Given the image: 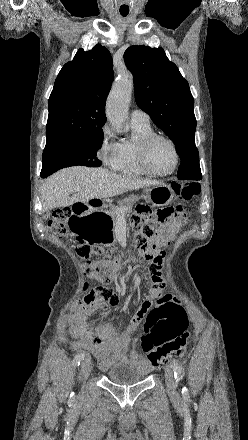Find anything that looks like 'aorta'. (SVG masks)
<instances>
[{
    "instance_id": "obj_1",
    "label": "aorta",
    "mask_w": 248,
    "mask_h": 440,
    "mask_svg": "<svg viewBox=\"0 0 248 440\" xmlns=\"http://www.w3.org/2000/svg\"><path fill=\"white\" fill-rule=\"evenodd\" d=\"M132 91L133 77L129 72H123L108 96L106 115L112 127L118 132H122L128 119V104Z\"/></svg>"
}]
</instances>
